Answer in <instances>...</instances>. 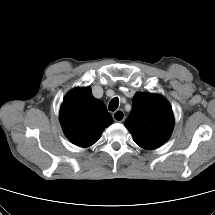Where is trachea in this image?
Wrapping results in <instances>:
<instances>
[{"label":"trachea","instance_id":"trachea-1","mask_svg":"<svg viewBox=\"0 0 215 215\" xmlns=\"http://www.w3.org/2000/svg\"><path fill=\"white\" fill-rule=\"evenodd\" d=\"M119 105V99L117 97L113 98L109 103V110L115 111Z\"/></svg>","mask_w":215,"mask_h":215}]
</instances>
